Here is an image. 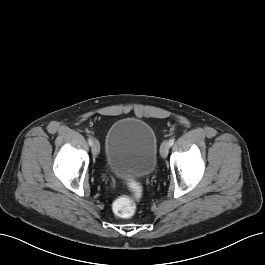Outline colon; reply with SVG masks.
I'll return each instance as SVG.
<instances>
[{"label": "colon", "instance_id": "1", "mask_svg": "<svg viewBox=\"0 0 265 265\" xmlns=\"http://www.w3.org/2000/svg\"><path fill=\"white\" fill-rule=\"evenodd\" d=\"M130 188L137 193L138 186L135 182L129 183ZM116 213L122 218L131 217L136 210L135 200L130 196H123L118 199L115 205Z\"/></svg>", "mask_w": 265, "mask_h": 265}]
</instances>
